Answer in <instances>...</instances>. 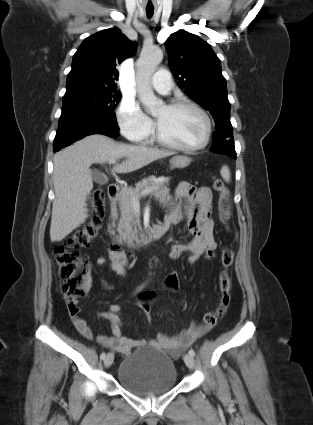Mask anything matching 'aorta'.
I'll list each match as a JSON object with an SVG mask.
<instances>
[{"mask_svg": "<svg viewBox=\"0 0 313 425\" xmlns=\"http://www.w3.org/2000/svg\"><path fill=\"white\" fill-rule=\"evenodd\" d=\"M162 59L161 49L152 47L141 52L136 64L138 97L151 112L162 104V101L155 96L150 84L151 77Z\"/></svg>", "mask_w": 313, "mask_h": 425, "instance_id": "1", "label": "aorta"}]
</instances>
